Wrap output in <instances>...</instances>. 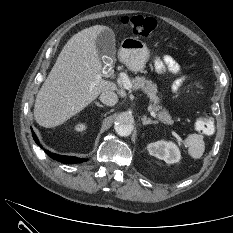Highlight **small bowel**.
<instances>
[{"label":"small bowel","instance_id":"1","mask_svg":"<svg viewBox=\"0 0 233 233\" xmlns=\"http://www.w3.org/2000/svg\"><path fill=\"white\" fill-rule=\"evenodd\" d=\"M155 65L158 70H163L164 68H168L172 72H177L179 70V65L177 62L170 56L164 57L163 60H156ZM185 78L178 79L173 84V90L176 91L180 88V86L184 83Z\"/></svg>","mask_w":233,"mask_h":233}]
</instances>
